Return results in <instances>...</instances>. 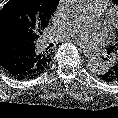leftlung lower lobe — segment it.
Instances as JSON below:
<instances>
[{"mask_svg":"<svg viewBox=\"0 0 118 118\" xmlns=\"http://www.w3.org/2000/svg\"><path fill=\"white\" fill-rule=\"evenodd\" d=\"M99 77L107 83L118 84V58Z\"/></svg>","mask_w":118,"mask_h":118,"instance_id":"obj_1","label":"left lung lower lobe"}]
</instances>
